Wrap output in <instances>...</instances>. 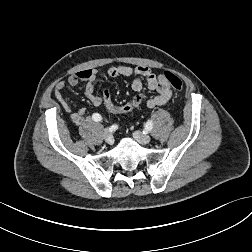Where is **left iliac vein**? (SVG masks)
I'll list each match as a JSON object with an SVG mask.
<instances>
[{"label":"left iliac vein","instance_id":"4c4485c4","mask_svg":"<svg viewBox=\"0 0 252 252\" xmlns=\"http://www.w3.org/2000/svg\"><path fill=\"white\" fill-rule=\"evenodd\" d=\"M133 137L135 138L136 141H138L140 144H148L151 141V137L147 134H143L140 131H135L133 133Z\"/></svg>","mask_w":252,"mask_h":252}]
</instances>
